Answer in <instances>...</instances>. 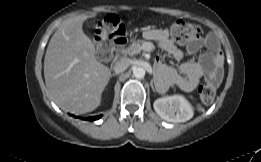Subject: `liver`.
I'll list each match as a JSON object with an SVG mask.
<instances>
[{"label":"liver","instance_id":"6515ba94","mask_svg":"<svg viewBox=\"0 0 261 162\" xmlns=\"http://www.w3.org/2000/svg\"><path fill=\"white\" fill-rule=\"evenodd\" d=\"M95 15L63 21L44 58V78L52 99L72 113L95 110L111 77L109 68L97 61L95 46L82 29L83 22Z\"/></svg>","mask_w":261,"mask_h":162}]
</instances>
